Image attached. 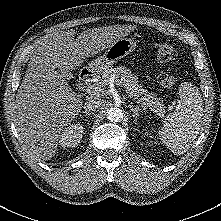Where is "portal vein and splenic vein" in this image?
<instances>
[{
    "mask_svg": "<svg viewBox=\"0 0 221 221\" xmlns=\"http://www.w3.org/2000/svg\"><path fill=\"white\" fill-rule=\"evenodd\" d=\"M116 84L117 85H121L120 82L118 80H116ZM102 91V88L100 85H91V86H88L87 88V92L89 94H93V95H97L99 94L100 92Z\"/></svg>",
    "mask_w": 221,
    "mask_h": 221,
    "instance_id": "18ae733b",
    "label": "portal vein and splenic vein"
}]
</instances>
